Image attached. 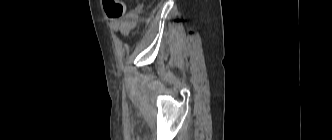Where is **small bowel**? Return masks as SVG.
Segmentation results:
<instances>
[{
  "mask_svg": "<svg viewBox=\"0 0 332 140\" xmlns=\"http://www.w3.org/2000/svg\"><path fill=\"white\" fill-rule=\"evenodd\" d=\"M137 15L138 10L135 9L130 11L124 18L120 20H114L111 24L113 32L116 34H121L125 37L129 36L136 27Z\"/></svg>",
  "mask_w": 332,
  "mask_h": 140,
  "instance_id": "small-bowel-1",
  "label": "small bowel"
}]
</instances>
